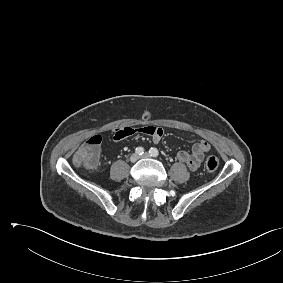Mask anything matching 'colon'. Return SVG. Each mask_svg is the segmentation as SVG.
<instances>
[{
	"instance_id": "colon-1",
	"label": "colon",
	"mask_w": 283,
	"mask_h": 283,
	"mask_svg": "<svg viewBox=\"0 0 283 283\" xmlns=\"http://www.w3.org/2000/svg\"><path fill=\"white\" fill-rule=\"evenodd\" d=\"M101 137L94 135L88 139L75 153L74 162L77 166L87 170H92L96 167L98 161L99 148ZM219 167V159L216 156H209L205 161V168L208 171H215Z\"/></svg>"
}]
</instances>
